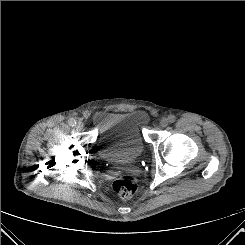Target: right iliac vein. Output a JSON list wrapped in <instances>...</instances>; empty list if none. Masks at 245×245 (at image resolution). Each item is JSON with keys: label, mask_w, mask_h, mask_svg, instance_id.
<instances>
[{"label": "right iliac vein", "mask_w": 245, "mask_h": 245, "mask_svg": "<svg viewBox=\"0 0 245 245\" xmlns=\"http://www.w3.org/2000/svg\"><path fill=\"white\" fill-rule=\"evenodd\" d=\"M84 126V124H83V122H81V121H78L77 123H76V127L77 128H82Z\"/></svg>", "instance_id": "right-iliac-vein-1"}]
</instances>
